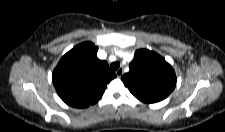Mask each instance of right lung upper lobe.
I'll use <instances>...</instances> for the list:
<instances>
[{"label":"right lung upper lobe","mask_w":225,"mask_h":132,"mask_svg":"<svg viewBox=\"0 0 225 132\" xmlns=\"http://www.w3.org/2000/svg\"><path fill=\"white\" fill-rule=\"evenodd\" d=\"M97 50L92 42H83L67 52L54 69L53 84L66 104L77 108L95 104L116 77L107 62L97 58Z\"/></svg>","instance_id":"obj_1"}]
</instances>
